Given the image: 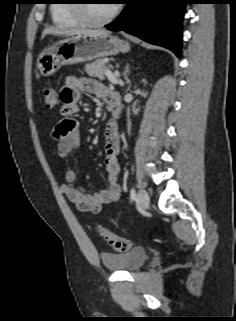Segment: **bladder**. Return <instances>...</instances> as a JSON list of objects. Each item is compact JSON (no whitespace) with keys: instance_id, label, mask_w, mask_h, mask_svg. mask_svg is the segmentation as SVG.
<instances>
[{"instance_id":"1","label":"bladder","mask_w":236,"mask_h":321,"mask_svg":"<svg viewBox=\"0 0 236 321\" xmlns=\"http://www.w3.org/2000/svg\"><path fill=\"white\" fill-rule=\"evenodd\" d=\"M148 259V251L143 247H136L126 252L103 253L101 260L109 271L135 272Z\"/></svg>"}]
</instances>
